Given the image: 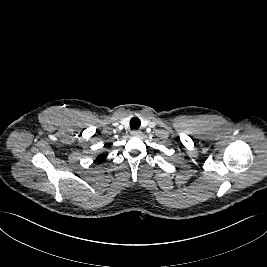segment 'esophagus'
<instances>
[{
  "mask_svg": "<svg viewBox=\"0 0 267 267\" xmlns=\"http://www.w3.org/2000/svg\"><path fill=\"white\" fill-rule=\"evenodd\" d=\"M141 131L140 130H133V131H131V134L133 135V136H140L141 135Z\"/></svg>",
  "mask_w": 267,
  "mask_h": 267,
  "instance_id": "1",
  "label": "esophagus"
}]
</instances>
